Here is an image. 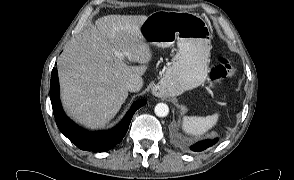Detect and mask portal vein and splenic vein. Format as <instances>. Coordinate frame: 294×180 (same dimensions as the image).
<instances>
[{
    "label": "portal vein and splenic vein",
    "instance_id": "portal-vein-and-splenic-vein-1",
    "mask_svg": "<svg viewBox=\"0 0 294 180\" xmlns=\"http://www.w3.org/2000/svg\"><path fill=\"white\" fill-rule=\"evenodd\" d=\"M117 55H119V56H122V54H121V53H117Z\"/></svg>",
    "mask_w": 294,
    "mask_h": 180
}]
</instances>
